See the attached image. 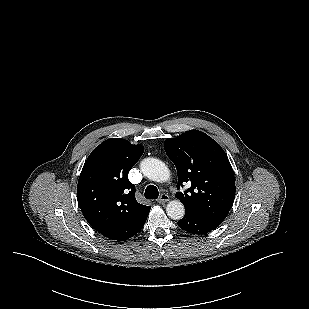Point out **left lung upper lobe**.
I'll use <instances>...</instances> for the list:
<instances>
[{
  "mask_svg": "<svg viewBox=\"0 0 309 309\" xmlns=\"http://www.w3.org/2000/svg\"><path fill=\"white\" fill-rule=\"evenodd\" d=\"M164 148L175 164L177 187L191 186L176 197L186 213L201 215L221 224L235 198V178L231 164L221 146L198 130L166 139Z\"/></svg>",
  "mask_w": 309,
  "mask_h": 309,
  "instance_id": "1",
  "label": "left lung upper lobe"
}]
</instances>
